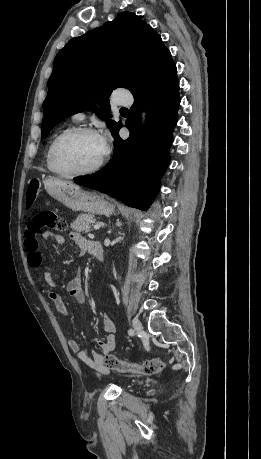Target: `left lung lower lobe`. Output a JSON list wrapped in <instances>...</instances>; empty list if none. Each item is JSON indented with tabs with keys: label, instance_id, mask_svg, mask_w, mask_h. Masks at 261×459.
I'll return each instance as SVG.
<instances>
[{
	"label": "left lung lower lobe",
	"instance_id": "1",
	"mask_svg": "<svg viewBox=\"0 0 261 459\" xmlns=\"http://www.w3.org/2000/svg\"><path fill=\"white\" fill-rule=\"evenodd\" d=\"M134 104L125 126L130 136L123 141L114 135L110 162L91 176L75 183L106 193L128 206L147 210L159 191L158 179L169 164L168 149L177 123L180 104L176 65L169 64L146 88L133 94ZM145 108L147 123L142 128L140 113Z\"/></svg>",
	"mask_w": 261,
	"mask_h": 459
}]
</instances>
